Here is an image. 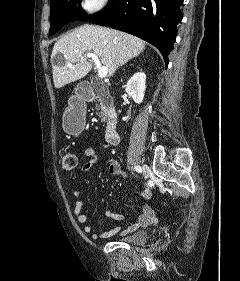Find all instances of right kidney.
<instances>
[{
  "label": "right kidney",
  "instance_id": "ca27d5eb",
  "mask_svg": "<svg viewBox=\"0 0 240 281\" xmlns=\"http://www.w3.org/2000/svg\"><path fill=\"white\" fill-rule=\"evenodd\" d=\"M146 89V75L143 72L134 74L127 82L125 91L135 103H142Z\"/></svg>",
  "mask_w": 240,
  "mask_h": 281
}]
</instances>
